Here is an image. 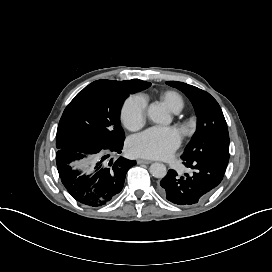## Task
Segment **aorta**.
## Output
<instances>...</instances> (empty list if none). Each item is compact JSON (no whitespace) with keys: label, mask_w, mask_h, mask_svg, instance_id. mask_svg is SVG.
<instances>
[{"label":"aorta","mask_w":272,"mask_h":272,"mask_svg":"<svg viewBox=\"0 0 272 272\" xmlns=\"http://www.w3.org/2000/svg\"><path fill=\"white\" fill-rule=\"evenodd\" d=\"M148 115L155 123H163L166 119V112L163 110L160 104L155 102L150 104L148 108ZM149 171L153 177L159 179L164 178L167 174L166 166L163 163L156 162L151 164Z\"/></svg>","instance_id":"aorta-1"}]
</instances>
